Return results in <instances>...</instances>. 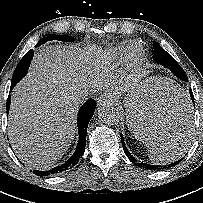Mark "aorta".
Segmentation results:
<instances>
[{
    "mask_svg": "<svg viewBox=\"0 0 203 203\" xmlns=\"http://www.w3.org/2000/svg\"><path fill=\"white\" fill-rule=\"evenodd\" d=\"M98 117L103 123L108 125L117 123L120 118L117 109L111 104L102 105L98 109Z\"/></svg>",
    "mask_w": 203,
    "mask_h": 203,
    "instance_id": "obj_1",
    "label": "aorta"
}]
</instances>
